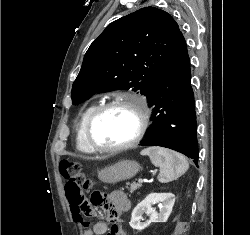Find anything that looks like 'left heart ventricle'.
I'll return each instance as SVG.
<instances>
[{
  "label": "left heart ventricle",
  "instance_id": "b2bd125f",
  "mask_svg": "<svg viewBox=\"0 0 250 235\" xmlns=\"http://www.w3.org/2000/svg\"><path fill=\"white\" fill-rule=\"evenodd\" d=\"M138 128L136 113L117 106L104 112L92 128L93 140L101 146H115L130 141Z\"/></svg>",
  "mask_w": 250,
  "mask_h": 235
}]
</instances>
